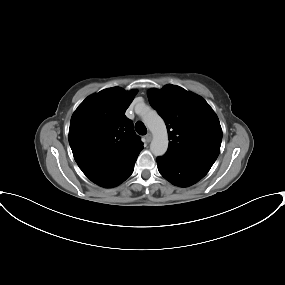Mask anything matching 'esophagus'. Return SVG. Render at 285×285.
<instances>
[{
    "label": "esophagus",
    "mask_w": 285,
    "mask_h": 285,
    "mask_svg": "<svg viewBox=\"0 0 285 285\" xmlns=\"http://www.w3.org/2000/svg\"><path fill=\"white\" fill-rule=\"evenodd\" d=\"M145 139L147 142H150L152 140V134L151 133H147L145 136Z\"/></svg>",
    "instance_id": "34e87169"
}]
</instances>
